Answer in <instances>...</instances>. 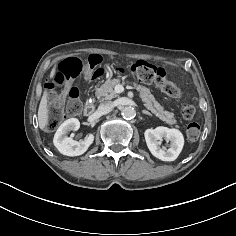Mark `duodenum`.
<instances>
[{
  "label": "duodenum",
  "instance_id": "obj_1",
  "mask_svg": "<svg viewBox=\"0 0 236 236\" xmlns=\"http://www.w3.org/2000/svg\"><path fill=\"white\" fill-rule=\"evenodd\" d=\"M92 113H93V105L89 103L85 107V115L90 116Z\"/></svg>",
  "mask_w": 236,
  "mask_h": 236
}]
</instances>
